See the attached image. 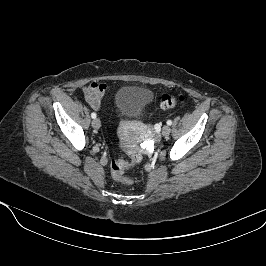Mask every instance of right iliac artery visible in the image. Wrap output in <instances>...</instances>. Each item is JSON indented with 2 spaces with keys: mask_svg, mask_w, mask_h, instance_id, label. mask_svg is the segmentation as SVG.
I'll list each match as a JSON object with an SVG mask.
<instances>
[{
  "mask_svg": "<svg viewBox=\"0 0 266 266\" xmlns=\"http://www.w3.org/2000/svg\"><path fill=\"white\" fill-rule=\"evenodd\" d=\"M96 116H97L96 113H94V112L91 113V117H92L93 119H95Z\"/></svg>",
  "mask_w": 266,
  "mask_h": 266,
  "instance_id": "right-iliac-artery-1",
  "label": "right iliac artery"
}]
</instances>
